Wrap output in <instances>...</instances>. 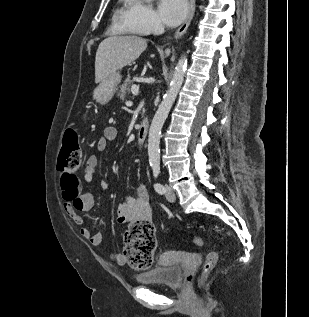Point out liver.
<instances>
[{
	"instance_id": "6515ba94",
	"label": "liver",
	"mask_w": 309,
	"mask_h": 317,
	"mask_svg": "<svg viewBox=\"0 0 309 317\" xmlns=\"http://www.w3.org/2000/svg\"><path fill=\"white\" fill-rule=\"evenodd\" d=\"M146 47V39L138 36H110L104 39L96 52L95 83H101L136 60ZM165 53L168 56L170 50L167 49Z\"/></svg>"
}]
</instances>
